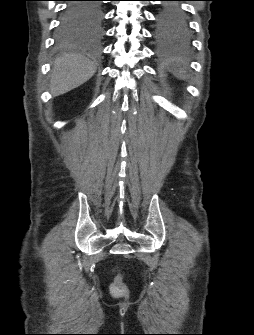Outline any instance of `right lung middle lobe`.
Returning a JSON list of instances; mask_svg holds the SVG:
<instances>
[{"mask_svg":"<svg viewBox=\"0 0 254 335\" xmlns=\"http://www.w3.org/2000/svg\"><path fill=\"white\" fill-rule=\"evenodd\" d=\"M89 6H91L92 8L96 9L99 11V22L92 27V29L90 30H83L80 28L79 25V16L78 14L74 15V19L75 21L69 25V26H65V27H60L58 30V37L61 40H68L71 39L75 36H80V35H99L101 33V22H102V10H101V4L99 2H90Z\"/></svg>","mask_w":254,"mask_h":335,"instance_id":"dd1d6c3e","label":"right lung middle lobe"}]
</instances>
